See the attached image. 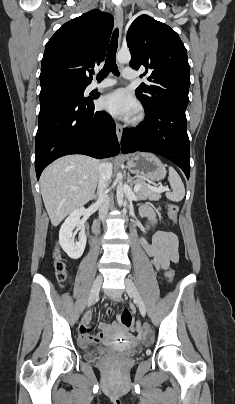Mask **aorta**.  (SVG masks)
<instances>
[{"instance_id":"1","label":"aorta","mask_w":235,"mask_h":404,"mask_svg":"<svg viewBox=\"0 0 235 404\" xmlns=\"http://www.w3.org/2000/svg\"><path fill=\"white\" fill-rule=\"evenodd\" d=\"M131 60V54L129 50H120L117 53V61L119 63H129ZM118 185H117V202L119 206L123 204V184H122V174L118 173L116 178Z\"/></svg>"}]
</instances>
